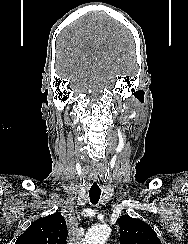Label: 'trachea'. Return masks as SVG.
I'll return each instance as SVG.
<instances>
[{"label": "trachea", "instance_id": "1", "mask_svg": "<svg viewBox=\"0 0 188 244\" xmlns=\"http://www.w3.org/2000/svg\"><path fill=\"white\" fill-rule=\"evenodd\" d=\"M99 185H101V180H92V183H90L89 198L93 205L98 203L101 196V188Z\"/></svg>", "mask_w": 188, "mask_h": 244}]
</instances>
